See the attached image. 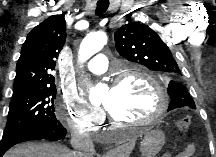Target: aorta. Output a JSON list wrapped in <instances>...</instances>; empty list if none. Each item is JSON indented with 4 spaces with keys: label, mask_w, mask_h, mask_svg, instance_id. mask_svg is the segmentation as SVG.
I'll return each instance as SVG.
<instances>
[{
    "label": "aorta",
    "mask_w": 216,
    "mask_h": 157,
    "mask_svg": "<svg viewBox=\"0 0 216 157\" xmlns=\"http://www.w3.org/2000/svg\"><path fill=\"white\" fill-rule=\"evenodd\" d=\"M107 43V37L103 32H97L87 35L81 42L78 58L80 62L87 61L94 54L98 53ZM99 87L91 88L89 99L92 103L100 101Z\"/></svg>",
    "instance_id": "762f6f07"
}]
</instances>
